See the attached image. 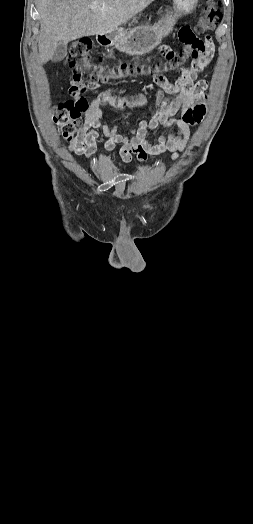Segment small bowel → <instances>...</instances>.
Returning <instances> with one entry per match:
<instances>
[{"label":"small bowel","instance_id":"obj_1","mask_svg":"<svg viewBox=\"0 0 253 524\" xmlns=\"http://www.w3.org/2000/svg\"><path fill=\"white\" fill-rule=\"evenodd\" d=\"M180 44H187L184 51L186 59L191 62L190 68L180 65L178 68H168V71H178L179 78L175 84L170 76L164 73L153 72L149 79L156 88L155 106L151 117L139 122L137 128L130 127L129 120L124 118L118 124H102V106L108 105L114 109L125 107L136 110L146 105L151 99L149 93H139L133 96H119L110 90H101L89 105L85 116V123L80 134L72 139L69 151L93 159L96 151V139L108 140L104 144L106 152H111L117 145H121L120 157L124 163H130L133 156L139 162L147 159L148 155H159L165 151L173 153L176 158L182 152L190 138V123L187 113L195 106L201 105L206 99L205 81H197V73L209 62L216 46L210 35L199 36L190 24H181L177 32ZM167 62H175V52L167 46L161 47ZM165 62V59H162ZM91 88V87H90ZM84 87V92L86 91ZM99 89V88H98ZM173 95L174 99L166 98ZM180 113V117H176ZM161 127L165 132L158 137L156 144H151L148 134ZM128 128L132 137L125 136L120 129ZM175 129V132H171ZM167 131V133H166Z\"/></svg>","mask_w":253,"mask_h":524}]
</instances>
